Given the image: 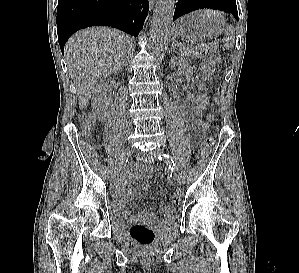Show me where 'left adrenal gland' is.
Masks as SVG:
<instances>
[{"label":"left adrenal gland","mask_w":299,"mask_h":273,"mask_svg":"<svg viewBox=\"0 0 299 273\" xmlns=\"http://www.w3.org/2000/svg\"><path fill=\"white\" fill-rule=\"evenodd\" d=\"M172 51H176V45H175V42L173 41L172 45H171V48H170V52Z\"/></svg>","instance_id":"1"}]
</instances>
